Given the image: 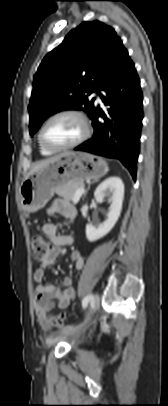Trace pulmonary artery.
<instances>
[{
	"label": "pulmonary artery",
	"instance_id": "pulmonary-artery-1",
	"mask_svg": "<svg viewBox=\"0 0 168 406\" xmlns=\"http://www.w3.org/2000/svg\"><path fill=\"white\" fill-rule=\"evenodd\" d=\"M93 96L95 97L96 102H98V103H100V102H101V99H100V97H99V95H98V93H97V92H94V93H93Z\"/></svg>",
	"mask_w": 168,
	"mask_h": 406
}]
</instances>
